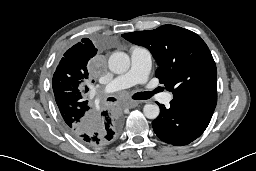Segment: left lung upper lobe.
Instances as JSON below:
<instances>
[{
    "mask_svg": "<svg viewBox=\"0 0 256 171\" xmlns=\"http://www.w3.org/2000/svg\"><path fill=\"white\" fill-rule=\"evenodd\" d=\"M122 37L149 49L159 65L156 77L173 93V100L214 112L217 70L209 48L199 35L178 26L163 25Z\"/></svg>",
    "mask_w": 256,
    "mask_h": 171,
    "instance_id": "left-lung-upper-lobe-1",
    "label": "left lung upper lobe"
}]
</instances>
